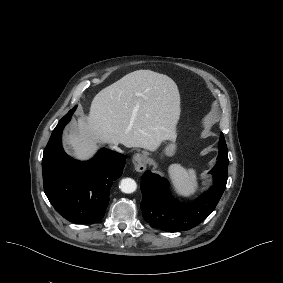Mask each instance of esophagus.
<instances>
[{
	"mask_svg": "<svg viewBox=\"0 0 283 283\" xmlns=\"http://www.w3.org/2000/svg\"><path fill=\"white\" fill-rule=\"evenodd\" d=\"M133 165L138 172H142L147 166V157L142 153H136L133 155Z\"/></svg>",
	"mask_w": 283,
	"mask_h": 283,
	"instance_id": "34e87169",
	"label": "esophagus"
}]
</instances>
